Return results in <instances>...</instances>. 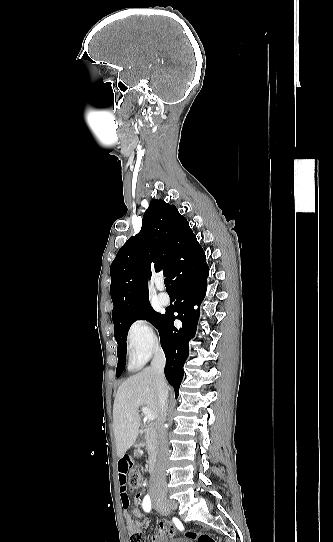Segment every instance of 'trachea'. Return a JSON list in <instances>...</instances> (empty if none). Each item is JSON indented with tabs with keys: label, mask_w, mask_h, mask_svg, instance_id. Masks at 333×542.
I'll list each match as a JSON object with an SVG mask.
<instances>
[{
	"label": "trachea",
	"mask_w": 333,
	"mask_h": 542,
	"mask_svg": "<svg viewBox=\"0 0 333 542\" xmlns=\"http://www.w3.org/2000/svg\"><path fill=\"white\" fill-rule=\"evenodd\" d=\"M164 283H165V286H166L167 289H171L170 279L166 278V279L164 280Z\"/></svg>",
	"instance_id": "obj_1"
}]
</instances>
